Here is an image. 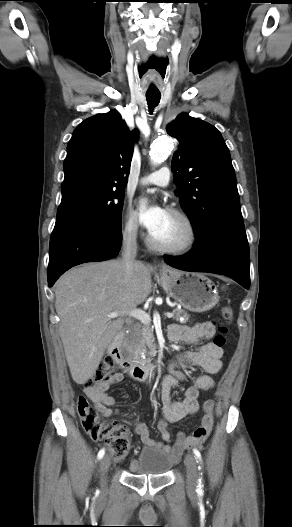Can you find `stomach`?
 I'll return each mask as SVG.
<instances>
[{"label":"stomach","instance_id":"0dacf381","mask_svg":"<svg viewBox=\"0 0 292 527\" xmlns=\"http://www.w3.org/2000/svg\"><path fill=\"white\" fill-rule=\"evenodd\" d=\"M160 282L170 297L192 312L208 311L219 301L215 284L201 273L165 269Z\"/></svg>","mask_w":292,"mask_h":527}]
</instances>
